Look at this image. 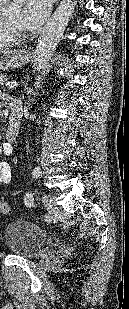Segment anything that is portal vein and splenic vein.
I'll return each mask as SVG.
<instances>
[{"label": "portal vein and splenic vein", "mask_w": 129, "mask_h": 309, "mask_svg": "<svg viewBox=\"0 0 129 309\" xmlns=\"http://www.w3.org/2000/svg\"><path fill=\"white\" fill-rule=\"evenodd\" d=\"M6 86L12 87V86H13V83H12V82H7V83H6Z\"/></svg>", "instance_id": "1"}]
</instances>
